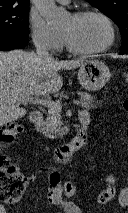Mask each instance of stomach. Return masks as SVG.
Listing matches in <instances>:
<instances>
[{
	"instance_id": "stomach-1",
	"label": "stomach",
	"mask_w": 128,
	"mask_h": 213,
	"mask_svg": "<svg viewBox=\"0 0 128 213\" xmlns=\"http://www.w3.org/2000/svg\"><path fill=\"white\" fill-rule=\"evenodd\" d=\"M109 78V68L105 63L98 60L86 61L78 70L80 85L89 91L101 89L108 82Z\"/></svg>"
}]
</instances>
